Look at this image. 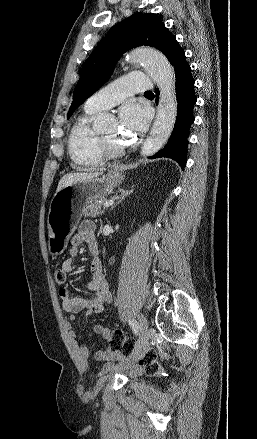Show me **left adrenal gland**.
I'll return each mask as SVG.
<instances>
[{
    "instance_id": "obj_1",
    "label": "left adrenal gland",
    "mask_w": 257,
    "mask_h": 439,
    "mask_svg": "<svg viewBox=\"0 0 257 439\" xmlns=\"http://www.w3.org/2000/svg\"><path fill=\"white\" fill-rule=\"evenodd\" d=\"M119 192L121 193V196L119 198V200H117V202L111 207V210L117 206L122 200L125 199V197H127L128 195H130L133 192V189L131 190H124V189H120Z\"/></svg>"
}]
</instances>
